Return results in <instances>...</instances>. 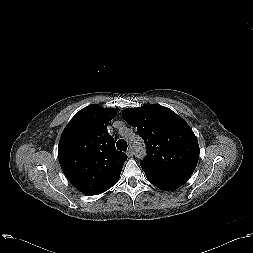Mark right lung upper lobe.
<instances>
[{
    "label": "right lung upper lobe",
    "instance_id": "1",
    "mask_svg": "<svg viewBox=\"0 0 253 253\" xmlns=\"http://www.w3.org/2000/svg\"><path fill=\"white\" fill-rule=\"evenodd\" d=\"M117 110L97 104L75 114L58 146L59 163L67 179L87 195L101 194L120 177L127 155L117 151L107 125Z\"/></svg>",
    "mask_w": 253,
    "mask_h": 253
}]
</instances>
